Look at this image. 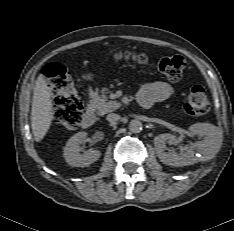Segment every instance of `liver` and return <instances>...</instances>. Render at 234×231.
<instances>
[{
	"mask_svg": "<svg viewBox=\"0 0 234 231\" xmlns=\"http://www.w3.org/2000/svg\"><path fill=\"white\" fill-rule=\"evenodd\" d=\"M53 118L51 93L44 76L40 74L35 82L31 110V127L36 142L45 137Z\"/></svg>",
	"mask_w": 234,
	"mask_h": 231,
	"instance_id": "6515ba94",
	"label": "liver"
}]
</instances>
